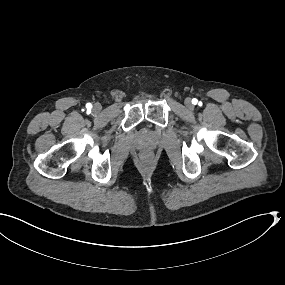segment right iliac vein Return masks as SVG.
<instances>
[{"label":"right iliac vein","instance_id":"63e3f726","mask_svg":"<svg viewBox=\"0 0 285 285\" xmlns=\"http://www.w3.org/2000/svg\"><path fill=\"white\" fill-rule=\"evenodd\" d=\"M101 110H102L101 104L95 103L94 106H93V111H94L95 113H99Z\"/></svg>","mask_w":285,"mask_h":285}]
</instances>
